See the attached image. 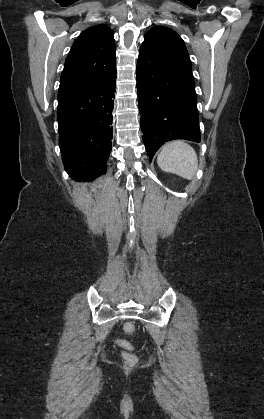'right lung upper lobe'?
Here are the masks:
<instances>
[{"label": "right lung upper lobe", "mask_w": 264, "mask_h": 419, "mask_svg": "<svg viewBox=\"0 0 264 419\" xmlns=\"http://www.w3.org/2000/svg\"><path fill=\"white\" fill-rule=\"evenodd\" d=\"M113 31L100 24L83 31L65 61L59 91L101 82L116 72Z\"/></svg>", "instance_id": "cb5924a9"}]
</instances>
